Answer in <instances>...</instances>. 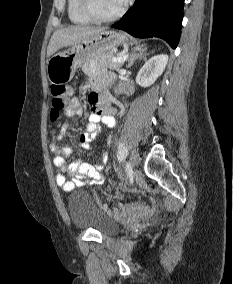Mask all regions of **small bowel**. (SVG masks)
Masks as SVG:
<instances>
[{
	"mask_svg": "<svg viewBox=\"0 0 233 284\" xmlns=\"http://www.w3.org/2000/svg\"><path fill=\"white\" fill-rule=\"evenodd\" d=\"M110 78L92 79L89 86L93 92L89 94L88 101L91 107L86 132L79 137L81 145L89 144L96 136L99 123L102 122L110 127L116 126V120L113 117V111L109 107L106 98L101 94ZM87 87V86H86ZM83 108L77 98L70 99L65 109L67 117L81 116ZM69 125L63 124L60 132L55 136L54 141L50 144V151L53 153V164L58 168L56 175V183L64 191L69 192L76 186L83 185H101L104 183L105 176L103 173V165L108 161V154L102 157V164L95 166L83 160H76L69 166L66 164V157L71 153V148L61 147L57 142L65 136ZM70 173L72 179L68 180L66 175Z\"/></svg>",
	"mask_w": 233,
	"mask_h": 284,
	"instance_id": "obj_1",
	"label": "small bowel"
}]
</instances>
